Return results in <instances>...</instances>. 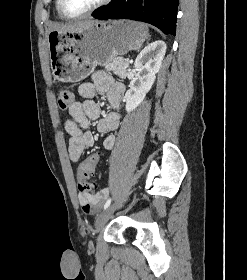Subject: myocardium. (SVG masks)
Masks as SVG:
<instances>
[{
	"mask_svg": "<svg viewBox=\"0 0 247 280\" xmlns=\"http://www.w3.org/2000/svg\"><path fill=\"white\" fill-rule=\"evenodd\" d=\"M59 1V12L60 14L65 18V19H79V18H83L86 17L92 13H94L95 11L99 10L100 8L104 7L105 5H107L108 3L111 2V0H100L99 2H97L94 6H92L91 8H89L88 10L79 13V14H70L66 11L65 9V4H64V0H58Z\"/></svg>",
	"mask_w": 247,
	"mask_h": 280,
	"instance_id": "obj_1",
	"label": "myocardium"
}]
</instances>
